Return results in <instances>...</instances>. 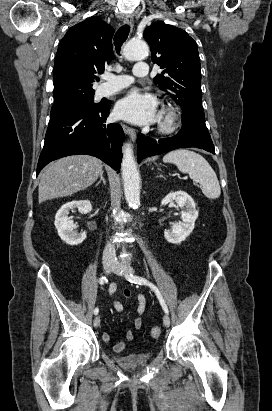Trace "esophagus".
Masks as SVG:
<instances>
[{
  "label": "esophagus",
  "instance_id": "1",
  "mask_svg": "<svg viewBox=\"0 0 272 411\" xmlns=\"http://www.w3.org/2000/svg\"><path fill=\"white\" fill-rule=\"evenodd\" d=\"M133 22H134V20H133V16H132V15H126L125 18H124V20H123V23H124L125 25H129V26H132V25H133ZM121 126H122L124 132H125V133L131 138V140L134 142V141L136 140V131H135V129H133V128H131V127H129V126L123 124V123L121 124Z\"/></svg>",
  "mask_w": 272,
  "mask_h": 411
}]
</instances>
